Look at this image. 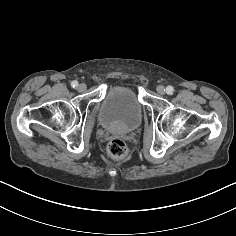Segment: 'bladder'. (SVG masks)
Masks as SVG:
<instances>
[{"label":"bladder","mask_w":236,"mask_h":236,"mask_svg":"<svg viewBox=\"0 0 236 236\" xmlns=\"http://www.w3.org/2000/svg\"><path fill=\"white\" fill-rule=\"evenodd\" d=\"M142 120V108L134 89L121 84L110 85L102 101L98 121L109 129L131 131Z\"/></svg>","instance_id":"1"}]
</instances>
